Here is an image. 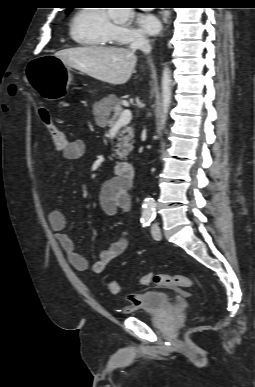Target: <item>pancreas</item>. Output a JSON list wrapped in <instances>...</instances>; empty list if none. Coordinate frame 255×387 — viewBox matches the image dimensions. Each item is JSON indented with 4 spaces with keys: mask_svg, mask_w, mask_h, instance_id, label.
<instances>
[{
    "mask_svg": "<svg viewBox=\"0 0 255 387\" xmlns=\"http://www.w3.org/2000/svg\"><path fill=\"white\" fill-rule=\"evenodd\" d=\"M98 105L105 106L103 112L101 113L103 115V125H107L112 128L123 112L121 102L115 95H109L108 97L102 99ZM111 111L114 113L110 118ZM133 137L134 134L132 126H124L121 130H119L117 132L118 142L115 145L116 148L113 150L112 155L120 160L126 159V156L133 150Z\"/></svg>",
    "mask_w": 255,
    "mask_h": 387,
    "instance_id": "cf45deb5",
    "label": "pancreas"
}]
</instances>
